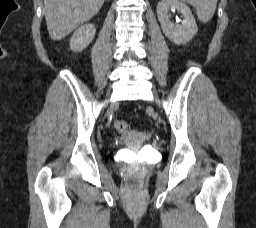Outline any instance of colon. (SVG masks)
I'll return each mask as SVG.
<instances>
[{
    "mask_svg": "<svg viewBox=\"0 0 256 228\" xmlns=\"http://www.w3.org/2000/svg\"><path fill=\"white\" fill-rule=\"evenodd\" d=\"M114 127L117 130V132L121 134L126 133L129 129V125L123 120H117L114 124Z\"/></svg>",
    "mask_w": 256,
    "mask_h": 228,
    "instance_id": "5ec220e1",
    "label": "colon"
}]
</instances>
